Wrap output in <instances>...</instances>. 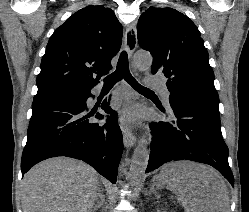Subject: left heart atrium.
<instances>
[{"mask_svg":"<svg viewBox=\"0 0 249 212\" xmlns=\"http://www.w3.org/2000/svg\"><path fill=\"white\" fill-rule=\"evenodd\" d=\"M137 118V113L134 109H131L127 112H125L122 117H121V120L123 122H132L134 121L135 119Z\"/></svg>","mask_w":249,"mask_h":212,"instance_id":"obj_1","label":"left heart atrium"}]
</instances>
